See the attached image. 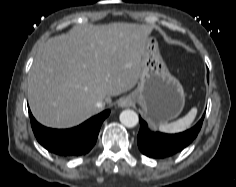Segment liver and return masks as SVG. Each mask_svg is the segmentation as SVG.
<instances>
[{"mask_svg":"<svg viewBox=\"0 0 236 187\" xmlns=\"http://www.w3.org/2000/svg\"><path fill=\"white\" fill-rule=\"evenodd\" d=\"M151 28L111 23L73 28L50 38L28 75L31 111L52 128L76 126L100 112L98 101L132 89Z\"/></svg>","mask_w":236,"mask_h":187,"instance_id":"liver-1","label":"liver"}]
</instances>
